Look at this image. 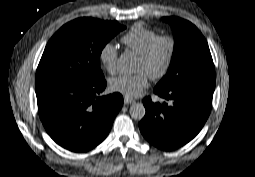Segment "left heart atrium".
Segmentation results:
<instances>
[{
  "label": "left heart atrium",
  "mask_w": 255,
  "mask_h": 177,
  "mask_svg": "<svg viewBox=\"0 0 255 177\" xmlns=\"http://www.w3.org/2000/svg\"><path fill=\"white\" fill-rule=\"evenodd\" d=\"M148 86V76L144 72L135 75H120L110 81V89L127 98L139 96Z\"/></svg>",
  "instance_id": "obj_1"
}]
</instances>
